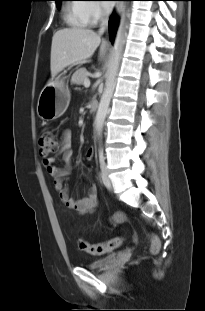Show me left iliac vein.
<instances>
[{
  "instance_id": "left-iliac-vein-1",
  "label": "left iliac vein",
  "mask_w": 205,
  "mask_h": 311,
  "mask_svg": "<svg viewBox=\"0 0 205 311\" xmlns=\"http://www.w3.org/2000/svg\"><path fill=\"white\" fill-rule=\"evenodd\" d=\"M101 170H102V174H101L102 182L107 189L111 190L113 188V182L111 178L109 177V173H108L105 163L101 165Z\"/></svg>"
}]
</instances>
